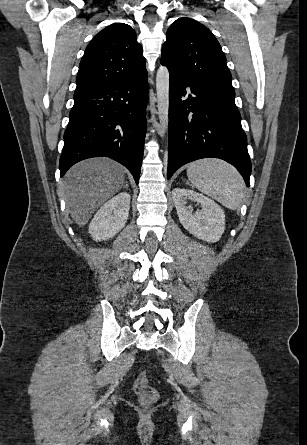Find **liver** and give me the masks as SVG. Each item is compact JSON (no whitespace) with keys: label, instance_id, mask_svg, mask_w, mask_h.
I'll list each match as a JSON object with an SVG mask.
<instances>
[{"label":"liver","instance_id":"obj_1","mask_svg":"<svg viewBox=\"0 0 307 445\" xmlns=\"http://www.w3.org/2000/svg\"><path fill=\"white\" fill-rule=\"evenodd\" d=\"M124 166L100 156L81 160L66 172L60 190L78 227H85L94 210L124 184Z\"/></svg>","mask_w":307,"mask_h":445}]
</instances>
